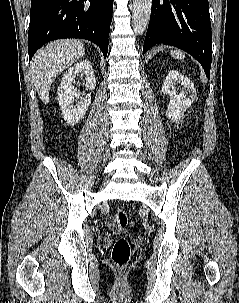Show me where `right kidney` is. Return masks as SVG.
I'll return each instance as SVG.
<instances>
[{"mask_svg":"<svg viewBox=\"0 0 239 303\" xmlns=\"http://www.w3.org/2000/svg\"><path fill=\"white\" fill-rule=\"evenodd\" d=\"M79 73L86 77L87 90H93L96 86L94 70L90 61L82 60L66 71L58 87V101L64 120L71 126H74L85 116L91 103V95L86 94L82 100L80 93L74 86V78ZM75 102H77L76 105Z\"/></svg>","mask_w":239,"mask_h":303,"instance_id":"right-kidney-1","label":"right kidney"}]
</instances>
